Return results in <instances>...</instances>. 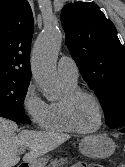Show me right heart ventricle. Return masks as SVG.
I'll list each match as a JSON object with an SVG mask.
<instances>
[{
  "instance_id": "1",
  "label": "right heart ventricle",
  "mask_w": 125,
  "mask_h": 167,
  "mask_svg": "<svg viewBox=\"0 0 125 167\" xmlns=\"http://www.w3.org/2000/svg\"><path fill=\"white\" fill-rule=\"evenodd\" d=\"M61 81L65 90V94L78 88L77 82L71 83L64 80ZM43 128L47 131L58 132V133L73 132V130L70 128V126L65 120L61 106V100L49 104L48 116Z\"/></svg>"
}]
</instances>
